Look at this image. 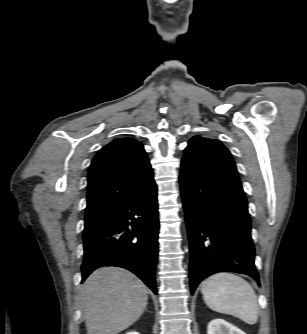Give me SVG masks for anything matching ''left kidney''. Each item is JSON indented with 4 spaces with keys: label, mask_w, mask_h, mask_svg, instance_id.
<instances>
[{
    "label": "left kidney",
    "mask_w": 307,
    "mask_h": 334,
    "mask_svg": "<svg viewBox=\"0 0 307 334\" xmlns=\"http://www.w3.org/2000/svg\"><path fill=\"white\" fill-rule=\"evenodd\" d=\"M207 334H246L223 319H213L209 322Z\"/></svg>",
    "instance_id": "left-kidney-1"
}]
</instances>
